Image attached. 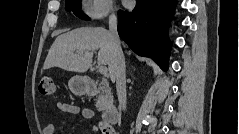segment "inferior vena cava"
Returning a JSON list of instances; mask_svg holds the SVG:
<instances>
[{
    "label": "inferior vena cava",
    "mask_w": 239,
    "mask_h": 134,
    "mask_svg": "<svg viewBox=\"0 0 239 134\" xmlns=\"http://www.w3.org/2000/svg\"><path fill=\"white\" fill-rule=\"evenodd\" d=\"M109 32L113 42V60L110 65V74L116 80L117 96L119 108L126 109V75H125V58L120 47V40L117 33V17L114 13L109 16Z\"/></svg>",
    "instance_id": "inferior-vena-cava-1"
}]
</instances>
